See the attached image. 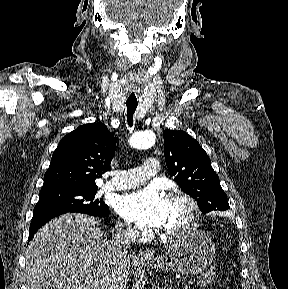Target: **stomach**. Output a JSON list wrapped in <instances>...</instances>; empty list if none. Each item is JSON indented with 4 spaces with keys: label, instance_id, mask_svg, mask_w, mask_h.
<instances>
[{
    "label": "stomach",
    "instance_id": "obj_1",
    "mask_svg": "<svg viewBox=\"0 0 288 289\" xmlns=\"http://www.w3.org/2000/svg\"><path fill=\"white\" fill-rule=\"evenodd\" d=\"M214 254L211 238L197 230L173 241L162 256L145 261L144 265L181 274H199L212 263Z\"/></svg>",
    "mask_w": 288,
    "mask_h": 289
}]
</instances>
